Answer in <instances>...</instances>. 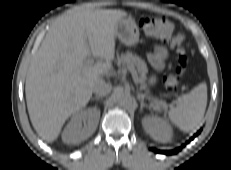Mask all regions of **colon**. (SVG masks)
<instances>
[{
  "mask_svg": "<svg viewBox=\"0 0 231 170\" xmlns=\"http://www.w3.org/2000/svg\"><path fill=\"white\" fill-rule=\"evenodd\" d=\"M139 26L146 35L155 36L168 42L178 52V66L163 79L165 87L170 91H175L181 83L187 64L183 36L175 31L170 22L159 17L144 16L140 19Z\"/></svg>",
  "mask_w": 231,
  "mask_h": 170,
  "instance_id": "1",
  "label": "colon"
}]
</instances>
